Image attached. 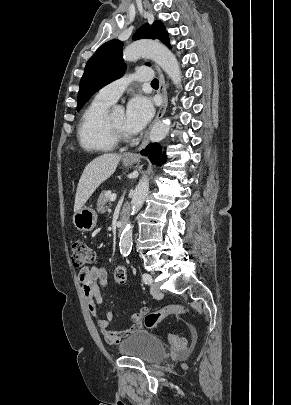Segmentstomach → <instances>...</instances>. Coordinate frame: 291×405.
<instances>
[{"label": "stomach", "instance_id": "0dacf381", "mask_svg": "<svg viewBox=\"0 0 291 405\" xmlns=\"http://www.w3.org/2000/svg\"><path fill=\"white\" fill-rule=\"evenodd\" d=\"M134 160H123L125 166H130ZM97 213L90 207H82L78 212L73 215V223L80 231H92L97 223Z\"/></svg>", "mask_w": 291, "mask_h": 405}]
</instances>
